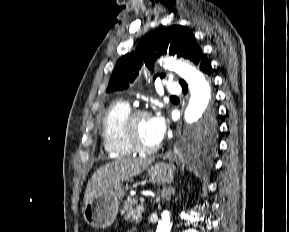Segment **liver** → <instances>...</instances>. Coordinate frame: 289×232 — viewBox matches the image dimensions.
Listing matches in <instances>:
<instances>
[{
    "mask_svg": "<svg viewBox=\"0 0 289 232\" xmlns=\"http://www.w3.org/2000/svg\"><path fill=\"white\" fill-rule=\"evenodd\" d=\"M152 161V159L118 160L100 167L88 181L84 194V204L95 196L121 185L123 181L140 175Z\"/></svg>",
    "mask_w": 289,
    "mask_h": 232,
    "instance_id": "liver-1",
    "label": "liver"
}]
</instances>
